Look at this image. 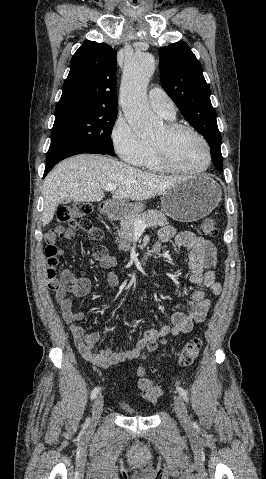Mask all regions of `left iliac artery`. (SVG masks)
<instances>
[{"label": "left iliac artery", "mask_w": 266, "mask_h": 479, "mask_svg": "<svg viewBox=\"0 0 266 479\" xmlns=\"http://www.w3.org/2000/svg\"><path fill=\"white\" fill-rule=\"evenodd\" d=\"M177 391L180 394V396L187 402L188 401L187 391L182 387H177Z\"/></svg>", "instance_id": "1"}]
</instances>
